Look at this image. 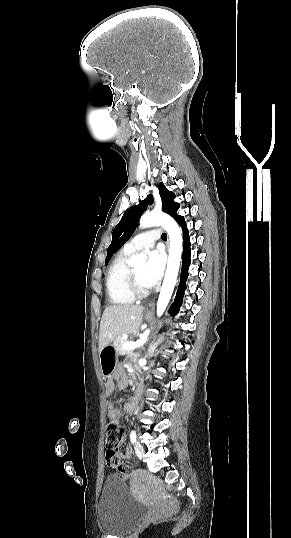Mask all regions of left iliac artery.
<instances>
[{"instance_id": "left-iliac-artery-1", "label": "left iliac artery", "mask_w": 291, "mask_h": 538, "mask_svg": "<svg viewBox=\"0 0 291 538\" xmlns=\"http://www.w3.org/2000/svg\"><path fill=\"white\" fill-rule=\"evenodd\" d=\"M130 440L132 443L136 442V432L134 430H132L130 433Z\"/></svg>"}]
</instances>
